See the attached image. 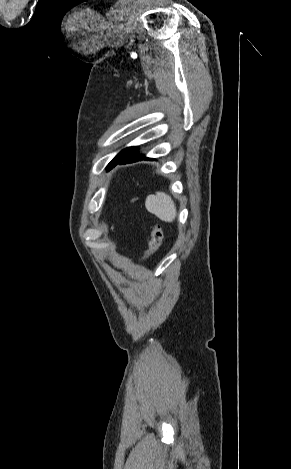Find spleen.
<instances>
[{
    "label": "spleen",
    "mask_w": 291,
    "mask_h": 469,
    "mask_svg": "<svg viewBox=\"0 0 291 469\" xmlns=\"http://www.w3.org/2000/svg\"><path fill=\"white\" fill-rule=\"evenodd\" d=\"M145 206L149 212L155 214L160 220L173 222L177 216L175 203L170 196L164 192H157L155 195H149Z\"/></svg>",
    "instance_id": "spleen-1"
}]
</instances>
